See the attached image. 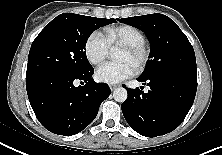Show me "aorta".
Listing matches in <instances>:
<instances>
[{
  "label": "aorta",
  "mask_w": 222,
  "mask_h": 155,
  "mask_svg": "<svg viewBox=\"0 0 222 155\" xmlns=\"http://www.w3.org/2000/svg\"><path fill=\"white\" fill-rule=\"evenodd\" d=\"M127 96H128L127 91L123 87L116 88L113 92V98L117 102H121V103L125 102L127 99Z\"/></svg>",
  "instance_id": "1"
}]
</instances>
